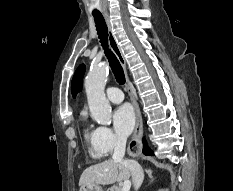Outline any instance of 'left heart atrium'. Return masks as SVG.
Segmentation results:
<instances>
[{
	"label": "left heart atrium",
	"mask_w": 233,
	"mask_h": 191,
	"mask_svg": "<svg viewBox=\"0 0 233 191\" xmlns=\"http://www.w3.org/2000/svg\"><path fill=\"white\" fill-rule=\"evenodd\" d=\"M136 117L130 105L124 104L113 113V125L118 134L128 136L134 129Z\"/></svg>",
	"instance_id": "obj_1"
}]
</instances>
